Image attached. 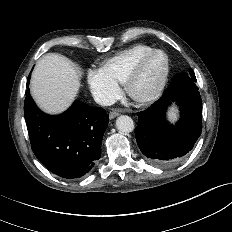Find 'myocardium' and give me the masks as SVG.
Here are the masks:
<instances>
[{
    "label": "myocardium",
    "instance_id": "myocardium-1",
    "mask_svg": "<svg viewBox=\"0 0 232 232\" xmlns=\"http://www.w3.org/2000/svg\"><path fill=\"white\" fill-rule=\"evenodd\" d=\"M160 54L164 57V67L157 83L146 93L138 94L134 90L135 83L140 77L146 63L155 55ZM170 73V58L168 54L162 49H152L151 51L142 55L133 65L132 69L128 73L125 82L124 89L126 94L135 102L149 103L157 99L164 90L168 81Z\"/></svg>",
    "mask_w": 232,
    "mask_h": 232
}]
</instances>
